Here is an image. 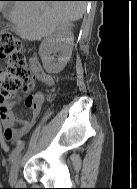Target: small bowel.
<instances>
[{
	"label": "small bowel",
	"instance_id": "c3829d8e",
	"mask_svg": "<svg viewBox=\"0 0 137 189\" xmlns=\"http://www.w3.org/2000/svg\"><path fill=\"white\" fill-rule=\"evenodd\" d=\"M34 75L32 77V83L36 81H42L48 86L55 84L54 77L45 72L40 65L33 67ZM34 98V104L32 107H28L31 110L30 117L23 119L12 112V103L5 101L0 104V117L2 119V125L4 130V137L13 142L16 147L22 143L23 136L31 129L35 124L37 117L41 111L42 104L46 100L45 95L42 92H37L32 95Z\"/></svg>",
	"mask_w": 137,
	"mask_h": 189
}]
</instances>
